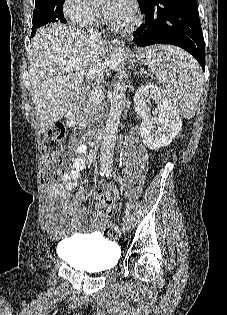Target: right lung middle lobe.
Wrapping results in <instances>:
<instances>
[{
	"label": "right lung middle lobe",
	"mask_w": 227,
	"mask_h": 315,
	"mask_svg": "<svg viewBox=\"0 0 227 315\" xmlns=\"http://www.w3.org/2000/svg\"><path fill=\"white\" fill-rule=\"evenodd\" d=\"M65 0H35V9L33 12V30L32 36L36 29L56 21L66 23L62 8Z\"/></svg>",
	"instance_id": "right-lung-middle-lobe-1"
}]
</instances>
